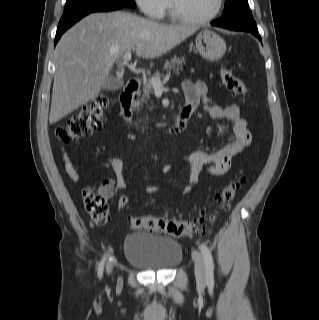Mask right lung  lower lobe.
I'll return each mask as SVG.
<instances>
[{
  "label": "right lung lower lobe",
  "instance_id": "1",
  "mask_svg": "<svg viewBox=\"0 0 319 320\" xmlns=\"http://www.w3.org/2000/svg\"><path fill=\"white\" fill-rule=\"evenodd\" d=\"M125 7L124 5H117V6H109V7H100V8H95L92 9L88 12H85L83 14H80L74 18H72L71 20H69L68 22L58 25V29L56 32V36L54 39V44H56L58 42V40L60 39L61 35L69 28L71 27L73 24H75L77 21H79L81 18H83L84 16H86L87 14L93 13V12H103V11H112V10H117V9H121Z\"/></svg>",
  "mask_w": 319,
  "mask_h": 320
}]
</instances>
